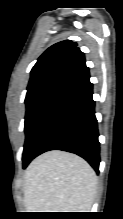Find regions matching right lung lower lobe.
<instances>
[{"label":"right lung lower lobe","instance_id":"98d812e1","mask_svg":"<svg viewBox=\"0 0 123 219\" xmlns=\"http://www.w3.org/2000/svg\"><path fill=\"white\" fill-rule=\"evenodd\" d=\"M89 71L77 76L61 93L42 123L30 160L49 150H63L84 158L99 172L100 144Z\"/></svg>","mask_w":123,"mask_h":219}]
</instances>
